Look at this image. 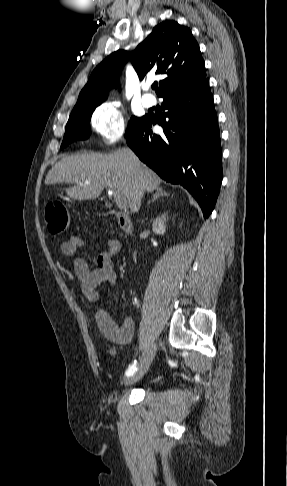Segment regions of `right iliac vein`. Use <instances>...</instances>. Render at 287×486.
<instances>
[{
  "label": "right iliac vein",
  "mask_w": 287,
  "mask_h": 486,
  "mask_svg": "<svg viewBox=\"0 0 287 486\" xmlns=\"http://www.w3.org/2000/svg\"><path fill=\"white\" fill-rule=\"evenodd\" d=\"M156 344L155 343H152L151 345H149L143 355H142V358L140 360V364L138 366V369L137 371L131 375V377H129L126 381H125V385L126 386H130L134 383H136L137 381H139L143 376L144 374L148 371L154 357H155V354H156Z\"/></svg>",
  "instance_id": "right-iliac-vein-1"
}]
</instances>
